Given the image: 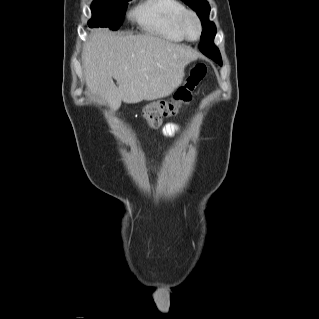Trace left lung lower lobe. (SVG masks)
<instances>
[{
	"label": "left lung lower lobe",
	"instance_id": "0a47b994",
	"mask_svg": "<svg viewBox=\"0 0 319 319\" xmlns=\"http://www.w3.org/2000/svg\"><path fill=\"white\" fill-rule=\"evenodd\" d=\"M208 41V40H207ZM208 44L207 45H212V43H214V42H212V40L211 41H208L207 42ZM205 48H206V50H201V52L203 53V54H205L207 57H209V58H211V59H213L214 61H215V59L217 58L214 54H212V52L209 50V47H207V46H205ZM200 49V48H199Z\"/></svg>",
	"mask_w": 319,
	"mask_h": 319
}]
</instances>
